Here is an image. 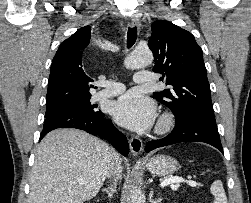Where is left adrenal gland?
<instances>
[{
	"mask_svg": "<svg viewBox=\"0 0 251 203\" xmlns=\"http://www.w3.org/2000/svg\"><path fill=\"white\" fill-rule=\"evenodd\" d=\"M152 198H153V191L150 192V203H159L162 201V198H159L157 200H154Z\"/></svg>",
	"mask_w": 251,
	"mask_h": 203,
	"instance_id": "left-adrenal-gland-1",
	"label": "left adrenal gland"
}]
</instances>
